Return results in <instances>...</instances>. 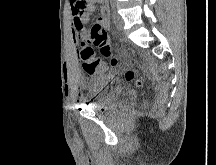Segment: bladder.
Listing matches in <instances>:
<instances>
[{"label": "bladder", "mask_w": 216, "mask_h": 165, "mask_svg": "<svg viewBox=\"0 0 216 165\" xmlns=\"http://www.w3.org/2000/svg\"><path fill=\"white\" fill-rule=\"evenodd\" d=\"M119 81L121 76H113L110 73L96 76L91 84L93 100L90 106L95 110H108L119 97Z\"/></svg>", "instance_id": "bladder-1"}]
</instances>
